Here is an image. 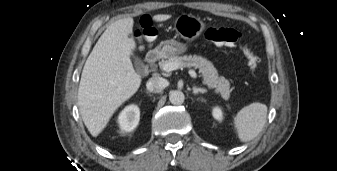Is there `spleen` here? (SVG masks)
I'll return each mask as SVG.
<instances>
[{
	"instance_id": "3e777b00",
	"label": "spleen",
	"mask_w": 337,
	"mask_h": 171,
	"mask_svg": "<svg viewBox=\"0 0 337 171\" xmlns=\"http://www.w3.org/2000/svg\"><path fill=\"white\" fill-rule=\"evenodd\" d=\"M267 106L255 102L242 108L234 117L233 123L241 142L254 139L266 123Z\"/></svg>"
}]
</instances>
